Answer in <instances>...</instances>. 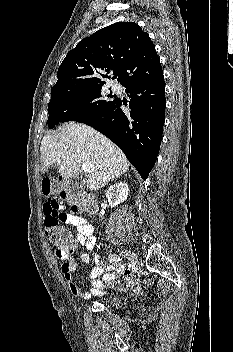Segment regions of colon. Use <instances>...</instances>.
<instances>
[{
	"mask_svg": "<svg viewBox=\"0 0 233 352\" xmlns=\"http://www.w3.org/2000/svg\"><path fill=\"white\" fill-rule=\"evenodd\" d=\"M63 196L66 194L63 192ZM75 201H78L77 205L73 206V212H83V213H91L94 211L95 206L92 199L88 196H80L79 198H73ZM46 225V237L50 241L52 245L62 251H71L73 249V243L71 240V236L69 232L60 227L55 223H48ZM124 280H126V284L128 289L138 292L140 290L139 284L133 279L129 278L127 273L124 274Z\"/></svg>",
	"mask_w": 233,
	"mask_h": 352,
	"instance_id": "obj_1",
	"label": "colon"
}]
</instances>
